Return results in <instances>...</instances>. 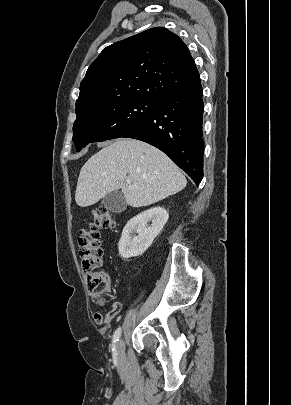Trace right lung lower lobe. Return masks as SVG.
Wrapping results in <instances>:
<instances>
[{"mask_svg":"<svg viewBox=\"0 0 291 405\" xmlns=\"http://www.w3.org/2000/svg\"><path fill=\"white\" fill-rule=\"evenodd\" d=\"M200 77L157 99L151 115L122 137L151 144L167 154L198 185L203 178V107Z\"/></svg>","mask_w":291,"mask_h":405,"instance_id":"right-lung-lower-lobe-1","label":"right lung lower lobe"}]
</instances>
